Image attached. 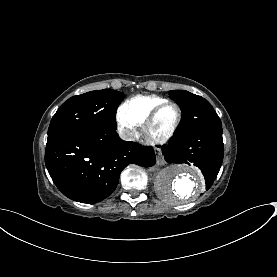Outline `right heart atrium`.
I'll use <instances>...</instances> for the list:
<instances>
[{
	"mask_svg": "<svg viewBox=\"0 0 277 277\" xmlns=\"http://www.w3.org/2000/svg\"><path fill=\"white\" fill-rule=\"evenodd\" d=\"M119 124L125 136H130L136 126L134 122L123 118H120Z\"/></svg>",
	"mask_w": 277,
	"mask_h": 277,
	"instance_id": "obj_1",
	"label": "right heart atrium"
}]
</instances>
